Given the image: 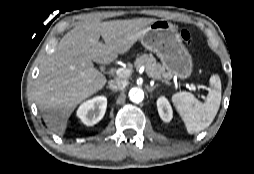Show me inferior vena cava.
<instances>
[{"instance_id": "602c4592", "label": "inferior vena cava", "mask_w": 254, "mask_h": 174, "mask_svg": "<svg viewBox=\"0 0 254 174\" xmlns=\"http://www.w3.org/2000/svg\"><path fill=\"white\" fill-rule=\"evenodd\" d=\"M125 86H126L125 81L116 79V80L109 81V86L108 87L113 91H118V90L124 89Z\"/></svg>"}]
</instances>
